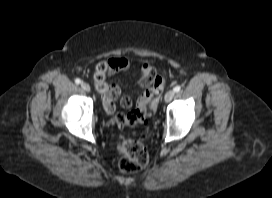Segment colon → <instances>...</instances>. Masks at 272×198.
Listing matches in <instances>:
<instances>
[{
	"label": "colon",
	"instance_id": "5ec220e1",
	"mask_svg": "<svg viewBox=\"0 0 272 198\" xmlns=\"http://www.w3.org/2000/svg\"><path fill=\"white\" fill-rule=\"evenodd\" d=\"M111 73L109 63H100L94 73V81L96 88L103 94L111 90V85L107 82V77ZM153 83L161 84V79H145L141 82L144 87H150ZM150 99L139 100L137 106L127 114H117L114 122L118 126H135L144 124L146 130H149L148 114H149ZM119 152L122 157L119 163V169L123 173L131 174L142 170L149 161V156L146 148L142 143L135 139H122L118 145Z\"/></svg>",
	"mask_w": 272,
	"mask_h": 198
}]
</instances>
